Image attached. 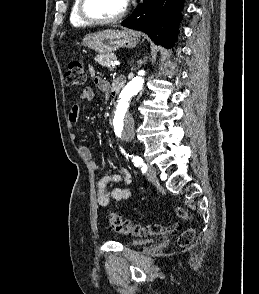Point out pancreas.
<instances>
[{"label": "pancreas", "mask_w": 259, "mask_h": 294, "mask_svg": "<svg viewBox=\"0 0 259 294\" xmlns=\"http://www.w3.org/2000/svg\"><path fill=\"white\" fill-rule=\"evenodd\" d=\"M116 59V55L113 53L110 54H99L95 57V61L100 65L111 69V62Z\"/></svg>", "instance_id": "obj_1"}]
</instances>
